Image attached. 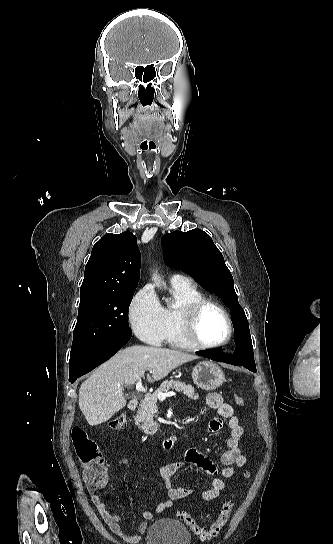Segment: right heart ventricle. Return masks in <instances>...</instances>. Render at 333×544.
<instances>
[{"mask_svg": "<svg viewBox=\"0 0 333 544\" xmlns=\"http://www.w3.org/2000/svg\"><path fill=\"white\" fill-rule=\"evenodd\" d=\"M171 292L175 303L164 308L167 332L165 341L178 348H191L192 346L184 338L180 326V311L186 305L203 298L202 293L193 285L172 286Z\"/></svg>", "mask_w": 333, "mask_h": 544, "instance_id": "right-heart-ventricle-1", "label": "right heart ventricle"}]
</instances>
